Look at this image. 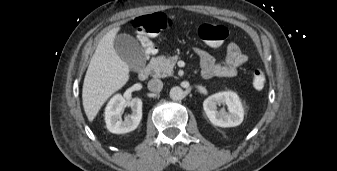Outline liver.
<instances>
[{"label":"liver","instance_id":"6515ba94","mask_svg":"<svg viewBox=\"0 0 337 171\" xmlns=\"http://www.w3.org/2000/svg\"><path fill=\"white\" fill-rule=\"evenodd\" d=\"M119 30L120 27H115L102 37L84 78L82 101L90 122L94 120L106 100L129 80V66L114 48Z\"/></svg>","mask_w":337,"mask_h":171}]
</instances>
